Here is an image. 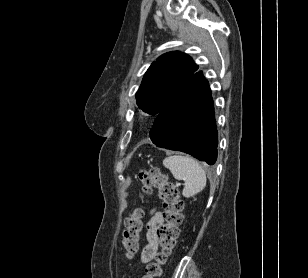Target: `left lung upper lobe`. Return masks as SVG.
<instances>
[{"mask_svg":"<svg viewBox=\"0 0 308 278\" xmlns=\"http://www.w3.org/2000/svg\"><path fill=\"white\" fill-rule=\"evenodd\" d=\"M198 66L192 58L175 51L163 54L145 73L135 97L139 108L158 115L184 84L196 74Z\"/></svg>","mask_w":308,"mask_h":278,"instance_id":"1","label":"left lung upper lobe"}]
</instances>
